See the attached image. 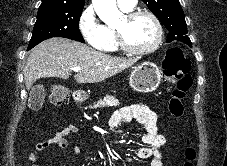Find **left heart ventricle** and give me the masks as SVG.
Returning <instances> with one entry per match:
<instances>
[{
  "label": "left heart ventricle",
  "instance_id": "left-heart-ventricle-1",
  "mask_svg": "<svg viewBox=\"0 0 227 166\" xmlns=\"http://www.w3.org/2000/svg\"><path fill=\"white\" fill-rule=\"evenodd\" d=\"M116 29L121 30L125 41L135 48L148 47L156 36L155 26L147 16H140L129 22L124 21L122 17Z\"/></svg>",
  "mask_w": 227,
  "mask_h": 166
}]
</instances>
